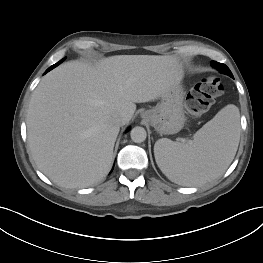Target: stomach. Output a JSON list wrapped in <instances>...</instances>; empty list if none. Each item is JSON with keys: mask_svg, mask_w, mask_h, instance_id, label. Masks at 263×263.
I'll return each mask as SVG.
<instances>
[{"mask_svg": "<svg viewBox=\"0 0 263 263\" xmlns=\"http://www.w3.org/2000/svg\"><path fill=\"white\" fill-rule=\"evenodd\" d=\"M183 98L182 86L175 85L162 96L156 107L145 111L142 117L160 135L175 134L183 128L185 123Z\"/></svg>", "mask_w": 263, "mask_h": 263, "instance_id": "obj_1", "label": "stomach"}]
</instances>
